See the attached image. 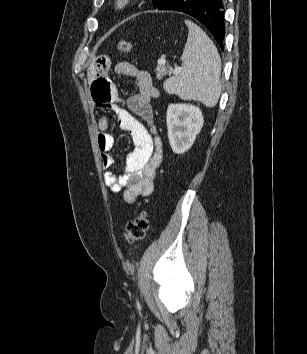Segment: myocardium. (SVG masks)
Instances as JSON below:
<instances>
[{
  "label": "myocardium",
  "mask_w": 307,
  "mask_h": 354,
  "mask_svg": "<svg viewBox=\"0 0 307 354\" xmlns=\"http://www.w3.org/2000/svg\"><path fill=\"white\" fill-rule=\"evenodd\" d=\"M132 0H114L115 7L119 10L126 8Z\"/></svg>",
  "instance_id": "obj_1"
}]
</instances>
